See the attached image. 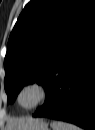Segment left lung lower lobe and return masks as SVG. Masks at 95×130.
<instances>
[{
  "label": "left lung lower lobe",
  "instance_id": "obj_1",
  "mask_svg": "<svg viewBox=\"0 0 95 130\" xmlns=\"http://www.w3.org/2000/svg\"><path fill=\"white\" fill-rule=\"evenodd\" d=\"M44 105L34 117H48L95 129V13L81 25L58 62Z\"/></svg>",
  "mask_w": 95,
  "mask_h": 130
}]
</instances>
